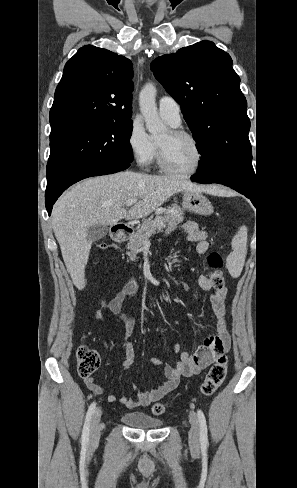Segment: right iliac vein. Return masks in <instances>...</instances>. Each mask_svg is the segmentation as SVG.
I'll list each match as a JSON object with an SVG mask.
<instances>
[{
    "mask_svg": "<svg viewBox=\"0 0 297 488\" xmlns=\"http://www.w3.org/2000/svg\"><path fill=\"white\" fill-rule=\"evenodd\" d=\"M101 416H102V410L98 408L92 417L91 426H90L89 444L92 447L97 445L100 438Z\"/></svg>",
    "mask_w": 297,
    "mask_h": 488,
    "instance_id": "1",
    "label": "right iliac vein"
}]
</instances>
